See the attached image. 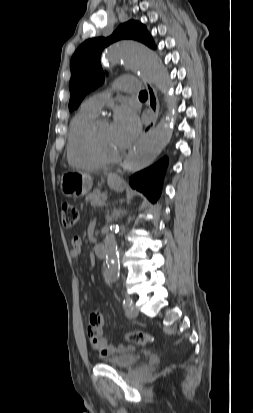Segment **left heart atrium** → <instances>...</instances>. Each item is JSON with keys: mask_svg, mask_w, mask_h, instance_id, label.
I'll return each mask as SVG.
<instances>
[{"mask_svg": "<svg viewBox=\"0 0 253 413\" xmlns=\"http://www.w3.org/2000/svg\"><path fill=\"white\" fill-rule=\"evenodd\" d=\"M116 143L120 149L127 147L140 132V120L130 108H120L111 125Z\"/></svg>", "mask_w": 253, "mask_h": 413, "instance_id": "1", "label": "left heart atrium"}]
</instances>
